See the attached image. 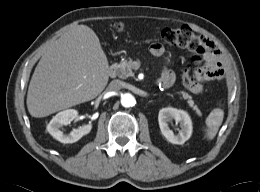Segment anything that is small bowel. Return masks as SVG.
<instances>
[{
  "label": "small bowel",
  "instance_id": "c3829d8e",
  "mask_svg": "<svg viewBox=\"0 0 260 192\" xmlns=\"http://www.w3.org/2000/svg\"><path fill=\"white\" fill-rule=\"evenodd\" d=\"M209 44L210 50L204 56L205 64L193 73L196 81V89L190 91L195 94H199L203 91L201 82L219 80L224 76L220 55L210 42ZM149 50L150 53L156 57L162 56L165 52L164 46L158 42L153 43ZM159 81L163 88H168L175 81V73L168 67H164Z\"/></svg>",
  "mask_w": 260,
  "mask_h": 192
}]
</instances>
